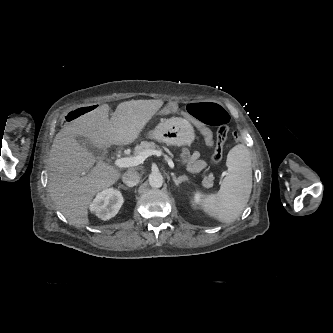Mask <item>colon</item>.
Returning <instances> with one entry per match:
<instances>
[{"label":"colon","mask_w":333,"mask_h":333,"mask_svg":"<svg viewBox=\"0 0 333 333\" xmlns=\"http://www.w3.org/2000/svg\"><path fill=\"white\" fill-rule=\"evenodd\" d=\"M94 109L95 106L93 104L86 105L81 109L70 112L66 119L67 121H72L78 116L92 112ZM187 110L191 115H193V117H195L204 125L218 126L217 141L215 144L214 152L211 156L212 164L218 163L222 158L224 144L229 133V114L220 105L213 102L190 104L187 107ZM241 132L242 129L238 125L233 126L231 129L230 137L233 140V144L235 146H240L242 144Z\"/></svg>","instance_id":"obj_1"}]
</instances>
